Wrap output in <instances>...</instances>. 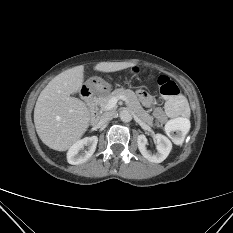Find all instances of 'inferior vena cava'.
Returning <instances> with one entry per match:
<instances>
[{"label":"inferior vena cava","mask_w":233,"mask_h":233,"mask_svg":"<svg viewBox=\"0 0 233 233\" xmlns=\"http://www.w3.org/2000/svg\"><path fill=\"white\" fill-rule=\"evenodd\" d=\"M115 116V113L113 111H108L103 113L100 118H99V123L100 124H105L109 121H111Z\"/></svg>","instance_id":"602c4592"}]
</instances>
